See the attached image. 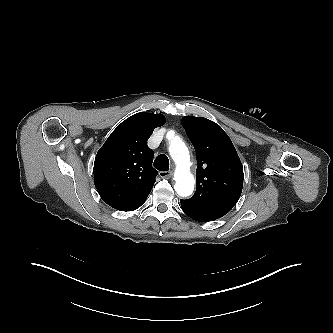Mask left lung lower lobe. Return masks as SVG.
I'll return each mask as SVG.
<instances>
[{"mask_svg":"<svg viewBox=\"0 0 333 333\" xmlns=\"http://www.w3.org/2000/svg\"><path fill=\"white\" fill-rule=\"evenodd\" d=\"M180 202H181V207L185 212V214L196 221L208 222L216 220L221 217L212 211L195 206L193 204L185 202L184 200H180Z\"/></svg>","mask_w":333,"mask_h":333,"instance_id":"0a47b994","label":"left lung lower lobe"}]
</instances>
